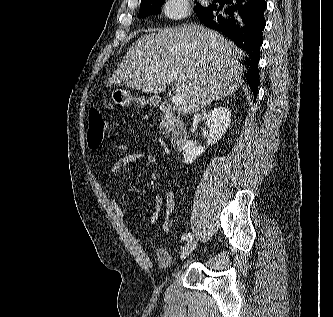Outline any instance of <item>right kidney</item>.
Returning a JSON list of instances; mask_svg holds the SVG:
<instances>
[{
	"label": "right kidney",
	"mask_w": 333,
	"mask_h": 317,
	"mask_svg": "<svg viewBox=\"0 0 333 317\" xmlns=\"http://www.w3.org/2000/svg\"><path fill=\"white\" fill-rule=\"evenodd\" d=\"M231 123V111L226 107H216L208 113L206 125L209 129L207 146L216 144L227 131ZM205 152V147L197 146L191 140L183 146V157L186 164H191L198 156Z\"/></svg>",
	"instance_id": "obj_1"
}]
</instances>
